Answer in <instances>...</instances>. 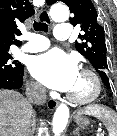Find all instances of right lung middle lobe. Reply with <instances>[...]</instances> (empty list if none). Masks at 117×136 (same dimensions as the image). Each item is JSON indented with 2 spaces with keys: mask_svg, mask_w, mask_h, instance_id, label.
Returning <instances> with one entry per match:
<instances>
[{
  "mask_svg": "<svg viewBox=\"0 0 117 136\" xmlns=\"http://www.w3.org/2000/svg\"><path fill=\"white\" fill-rule=\"evenodd\" d=\"M23 68L17 60H12V56L7 53H0V72H17Z\"/></svg>",
  "mask_w": 117,
  "mask_h": 136,
  "instance_id": "right-lung-middle-lobe-1",
  "label": "right lung middle lobe"
}]
</instances>
